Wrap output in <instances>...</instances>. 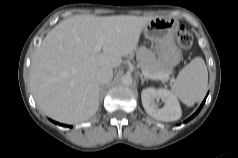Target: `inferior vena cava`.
<instances>
[{
	"label": "inferior vena cava",
	"instance_id": "602c4592",
	"mask_svg": "<svg viewBox=\"0 0 238 158\" xmlns=\"http://www.w3.org/2000/svg\"><path fill=\"white\" fill-rule=\"evenodd\" d=\"M113 77V70L112 68L108 67V66H102L98 69L97 71V82L103 86L105 84H107L109 81H111Z\"/></svg>",
	"mask_w": 238,
	"mask_h": 158
}]
</instances>
